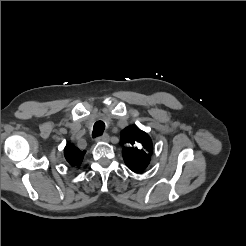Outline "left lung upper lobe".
<instances>
[{
	"instance_id": "obj_1",
	"label": "left lung upper lobe",
	"mask_w": 246,
	"mask_h": 246,
	"mask_svg": "<svg viewBox=\"0 0 246 246\" xmlns=\"http://www.w3.org/2000/svg\"><path fill=\"white\" fill-rule=\"evenodd\" d=\"M123 158L133 172H142L149 164L153 151L152 141L147 133L131 125L121 132Z\"/></svg>"
}]
</instances>
